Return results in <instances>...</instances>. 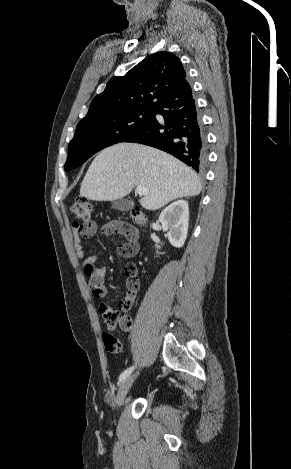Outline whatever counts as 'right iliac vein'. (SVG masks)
<instances>
[{
	"instance_id": "right-iliac-vein-1",
	"label": "right iliac vein",
	"mask_w": 291,
	"mask_h": 469,
	"mask_svg": "<svg viewBox=\"0 0 291 469\" xmlns=\"http://www.w3.org/2000/svg\"><path fill=\"white\" fill-rule=\"evenodd\" d=\"M135 377H136V374L132 375V376H129L125 380L122 381V383L119 387L118 393H117L116 401H115L117 407H120L123 404L124 399H125L128 391H129Z\"/></svg>"
}]
</instances>
